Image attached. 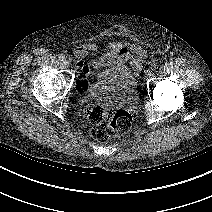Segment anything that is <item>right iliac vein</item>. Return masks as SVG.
<instances>
[{
  "label": "right iliac vein",
  "mask_w": 212,
  "mask_h": 212,
  "mask_svg": "<svg viewBox=\"0 0 212 212\" xmlns=\"http://www.w3.org/2000/svg\"><path fill=\"white\" fill-rule=\"evenodd\" d=\"M63 63H64V65H65V67H70V61L69 60H67V59H65L64 61H63Z\"/></svg>",
  "instance_id": "63e3f726"
}]
</instances>
